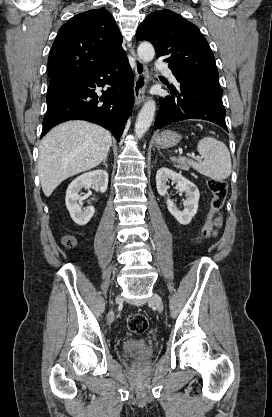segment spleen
I'll return each instance as SVG.
<instances>
[{
	"instance_id": "obj_1",
	"label": "spleen",
	"mask_w": 272,
	"mask_h": 417,
	"mask_svg": "<svg viewBox=\"0 0 272 417\" xmlns=\"http://www.w3.org/2000/svg\"><path fill=\"white\" fill-rule=\"evenodd\" d=\"M198 153L204 158L203 161H193L180 157L178 161L188 164L200 174L213 180L221 181L231 174V157L227 146L212 137H205L198 142Z\"/></svg>"
}]
</instances>
